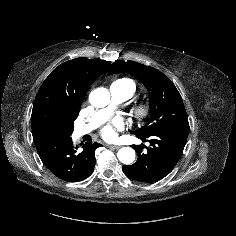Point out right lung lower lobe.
<instances>
[{"mask_svg":"<svg viewBox=\"0 0 236 236\" xmlns=\"http://www.w3.org/2000/svg\"><path fill=\"white\" fill-rule=\"evenodd\" d=\"M34 144L46 168L57 178L77 182L89 177L95 167V150L99 143L87 142L77 153L70 137L35 136Z\"/></svg>","mask_w":236,"mask_h":236,"instance_id":"right-lung-lower-lobe-1","label":"right lung lower lobe"}]
</instances>
